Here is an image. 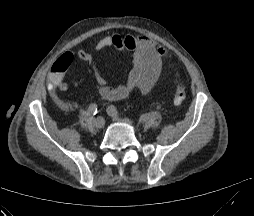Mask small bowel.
I'll return each mask as SVG.
<instances>
[{"label": "small bowel", "instance_id": "small-bowel-1", "mask_svg": "<svg viewBox=\"0 0 254 216\" xmlns=\"http://www.w3.org/2000/svg\"><path fill=\"white\" fill-rule=\"evenodd\" d=\"M109 47L131 53V68L127 78L124 83L115 87L110 86L108 80L101 75L92 54L87 51L66 52L59 58V61L67 66L74 60L86 62L88 72L97 82V93L105 100H122L136 91L143 95L149 93L160 79L162 61L169 57L167 50L146 36H121L119 34L102 37L94 49L99 52ZM65 71L58 68L52 69L48 76L51 97L56 101L60 99L55 90L67 91L69 87L65 81Z\"/></svg>", "mask_w": 254, "mask_h": 216}]
</instances>
